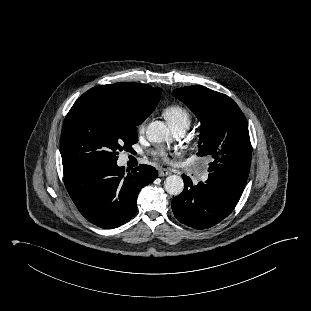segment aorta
I'll return each instance as SVG.
<instances>
[{
  "label": "aorta",
  "instance_id": "1",
  "mask_svg": "<svg viewBox=\"0 0 311 311\" xmlns=\"http://www.w3.org/2000/svg\"><path fill=\"white\" fill-rule=\"evenodd\" d=\"M146 135L151 142H164L170 140V131L162 121L151 122L146 129ZM164 188L170 195H179L184 188L183 179L177 175H170L164 181Z\"/></svg>",
  "mask_w": 311,
  "mask_h": 311
}]
</instances>
